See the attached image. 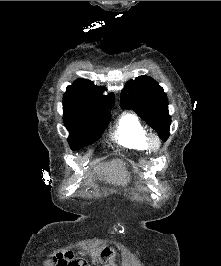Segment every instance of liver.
I'll return each instance as SVG.
<instances>
[{
  "mask_svg": "<svg viewBox=\"0 0 221 266\" xmlns=\"http://www.w3.org/2000/svg\"><path fill=\"white\" fill-rule=\"evenodd\" d=\"M95 173L99 180H105L113 185L125 186L130 181V173L126 169V164L120 159L97 166Z\"/></svg>",
  "mask_w": 221,
  "mask_h": 266,
  "instance_id": "1",
  "label": "liver"
}]
</instances>
